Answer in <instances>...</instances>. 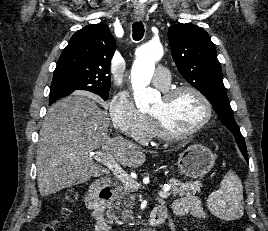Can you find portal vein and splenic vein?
Listing matches in <instances>:
<instances>
[{"instance_id": "obj_1", "label": "portal vein and splenic vein", "mask_w": 268, "mask_h": 231, "mask_svg": "<svg viewBox=\"0 0 268 231\" xmlns=\"http://www.w3.org/2000/svg\"><path fill=\"white\" fill-rule=\"evenodd\" d=\"M99 156H96V160L103 165H105L111 172L114 174V176L126 187L137 190L141 187V184L133 180L126 171L123 170V168L118 164V162L114 159V157L111 154L102 153L98 154ZM169 187L165 186L162 188L161 191L158 192V195L166 199L169 197Z\"/></svg>"}]
</instances>
